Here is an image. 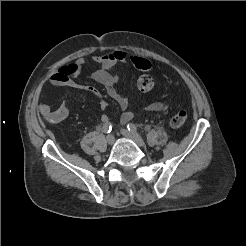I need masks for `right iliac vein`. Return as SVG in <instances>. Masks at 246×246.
Segmentation results:
<instances>
[{
    "label": "right iliac vein",
    "mask_w": 246,
    "mask_h": 246,
    "mask_svg": "<svg viewBox=\"0 0 246 246\" xmlns=\"http://www.w3.org/2000/svg\"><path fill=\"white\" fill-rule=\"evenodd\" d=\"M106 140H107V143L111 145V144L114 143L115 138H114V136H113L112 134H110V135H108V136L106 137Z\"/></svg>",
    "instance_id": "1"
}]
</instances>
